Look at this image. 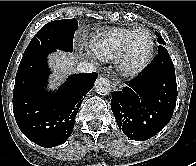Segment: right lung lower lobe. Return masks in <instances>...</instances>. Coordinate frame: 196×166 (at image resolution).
Returning a JSON list of instances; mask_svg holds the SVG:
<instances>
[{"label": "right lung lower lobe", "instance_id": "98d812e1", "mask_svg": "<svg viewBox=\"0 0 196 166\" xmlns=\"http://www.w3.org/2000/svg\"><path fill=\"white\" fill-rule=\"evenodd\" d=\"M43 49L23 55L15 79L13 112L18 127L42 147H55L70 137L83 97L94 86L97 73L70 76L55 92H45L49 75Z\"/></svg>", "mask_w": 196, "mask_h": 166}]
</instances>
